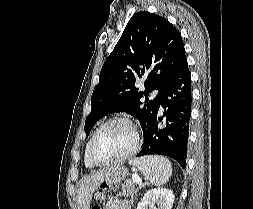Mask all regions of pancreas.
Here are the masks:
<instances>
[{
    "instance_id": "obj_1",
    "label": "pancreas",
    "mask_w": 253,
    "mask_h": 209,
    "mask_svg": "<svg viewBox=\"0 0 253 209\" xmlns=\"http://www.w3.org/2000/svg\"><path fill=\"white\" fill-rule=\"evenodd\" d=\"M135 186H136L135 181L126 180L125 183L122 185V193H120L119 195L133 198L134 193L137 191Z\"/></svg>"
}]
</instances>
